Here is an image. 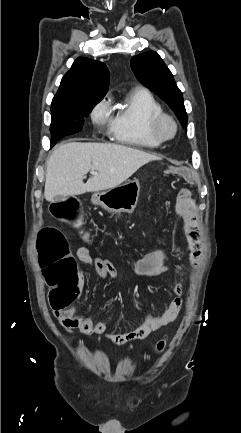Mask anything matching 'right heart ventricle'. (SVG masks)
Segmentation results:
<instances>
[{
	"instance_id": "obj_1",
	"label": "right heart ventricle",
	"mask_w": 241,
	"mask_h": 433,
	"mask_svg": "<svg viewBox=\"0 0 241 433\" xmlns=\"http://www.w3.org/2000/svg\"><path fill=\"white\" fill-rule=\"evenodd\" d=\"M162 112L160 104L148 90L133 89L115 110L111 121L113 138L137 148H158L162 142L151 134L149 124Z\"/></svg>"
}]
</instances>
